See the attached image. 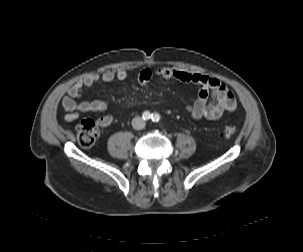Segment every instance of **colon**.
<instances>
[{"label":"colon","instance_id":"obj_1","mask_svg":"<svg viewBox=\"0 0 303 252\" xmlns=\"http://www.w3.org/2000/svg\"><path fill=\"white\" fill-rule=\"evenodd\" d=\"M236 133L237 128L235 126H225L222 130V136L225 138H230ZM77 136L83 147H91L99 137L98 126L93 120L85 119L77 126Z\"/></svg>","mask_w":303,"mask_h":252}]
</instances>
